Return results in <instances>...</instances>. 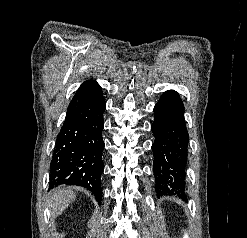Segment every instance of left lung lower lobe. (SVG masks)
<instances>
[{"mask_svg":"<svg viewBox=\"0 0 247 238\" xmlns=\"http://www.w3.org/2000/svg\"><path fill=\"white\" fill-rule=\"evenodd\" d=\"M151 130L155 136L152 146L156 188L163 194L185 188V166L189 136L184 119V105L177 92L166 91L154 107Z\"/></svg>","mask_w":247,"mask_h":238,"instance_id":"0a47b994","label":"left lung lower lobe"}]
</instances>
